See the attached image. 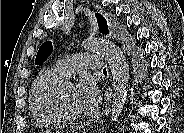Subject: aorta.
Returning a JSON list of instances; mask_svg holds the SVG:
<instances>
[{"label":"aorta","mask_w":184,"mask_h":133,"mask_svg":"<svg viewBox=\"0 0 184 133\" xmlns=\"http://www.w3.org/2000/svg\"><path fill=\"white\" fill-rule=\"evenodd\" d=\"M83 47L89 51L100 53L107 61L113 78V101L111 123H115L122 113L127 99L129 65L123 51L109 41L102 39H87Z\"/></svg>","instance_id":"obj_1"}]
</instances>
